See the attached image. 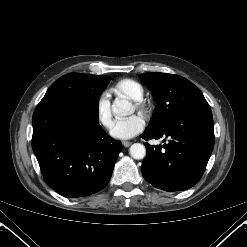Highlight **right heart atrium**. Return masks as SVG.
Returning a JSON list of instances; mask_svg holds the SVG:
<instances>
[{"instance_id":"d8ad5b80","label":"right heart atrium","mask_w":247,"mask_h":247,"mask_svg":"<svg viewBox=\"0 0 247 247\" xmlns=\"http://www.w3.org/2000/svg\"><path fill=\"white\" fill-rule=\"evenodd\" d=\"M96 115L99 123L105 127L110 128L112 125V111L111 101L108 93H102L96 104Z\"/></svg>"}]
</instances>
